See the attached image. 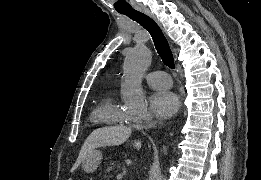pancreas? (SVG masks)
Returning <instances> with one entry per match:
<instances>
[{
    "instance_id": "1",
    "label": "pancreas",
    "mask_w": 261,
    "mask_h": 180,
    "mask_svg": "<svg viewBox=\"0 0 261 180\" xmlns=\"http://www.w3.org/2000/svg\"><path fill=\"white\" fill-rule=\"evenodd\" d=\"M114 166H119L116 159H110L107 163V173L104 174L105 178H114L115 174L111 172L114 169Z\"/></svg>"
}]
</instances>
